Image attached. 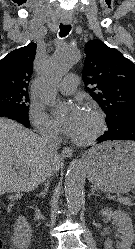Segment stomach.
Returning a JSON list of instances; mask_svg holds the SVG:
<instances>
[{
  "mask_svg": "<svg viewBox=\"0 0 135 249\" xmlns=\"http://www.w3.org/2000/svg\"><path fill=\"white\" fill-rule=\"evenodd\" d=\"M89 181L104 191L126 193L135 189V142L108 141L86 155Z\"/></svg>",
  "mask_w": 135,
  "mask_h": 249,
  "instance_id": "obj_1",
  "label": "stomach"
}]
</instances>
